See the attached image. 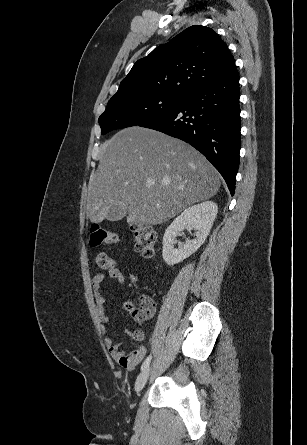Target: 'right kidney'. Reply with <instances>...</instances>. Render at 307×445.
Wrapping results in <instances>:
<instances>
[{
    "label": "right kidney",
    "instance_id": "obj_1",
    "mask_svg": "<svg viewBox=\"0 0 307 445\" xmlns=\"http://www.w3.org/2000/svg\"><path fill=\"white\" fill-rule=\"evenodd\" d=\"M218 206L213 200H206L200 204H194L185 208L180 216H177L173 223L166 229L163 237L162 257L167 265H177L184 259H188L190 255L196 253L197 249L203 245L207 239L210 229L217 216ZM185 227H192L195 233V239L179 243L178 249H174L177 235L184 231Z\"/></svg>",
    "mask_w": 307,
    "mask_h": 445
}]
</instances>
